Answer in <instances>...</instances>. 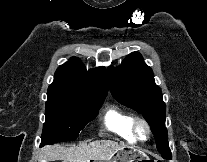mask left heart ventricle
<instances>
[{
	"label": "left heart ventricle",
	"mask_w": 207,
	"mask_h": 162,
	"mask_svg": "<svg viewBox=\"0 0 207 162\" xmlns=\"http://www.w3.org/2000/svg\"><path fill=\"white\" fill-rule=\"evenodd\" d=\"M144 134H145L144 129L141 127V128L139 129V136H140V137H144Z\"/></svg>",
	"instance_id": "left-heart-ventricle-1"
}]
</instances>
